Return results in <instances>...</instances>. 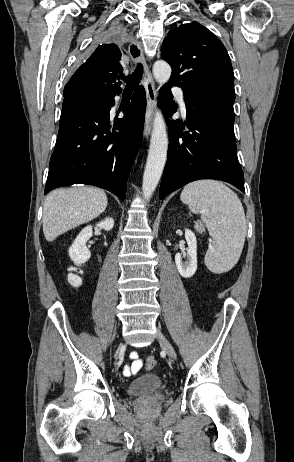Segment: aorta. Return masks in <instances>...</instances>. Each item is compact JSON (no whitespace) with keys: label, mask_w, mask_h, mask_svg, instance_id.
Instances as JSON below:
<instances>
[{"label":"aorta","mask_w":294,"mask_h":462,"mask_svg":"<svg viewBox=\"0 0 294 462\" xmlns=\"http://www.w3.org/2000/svg\"><path fill=\"white\" fill-rule=\"evenodd\" d=\"M153 75L160 85L165 84L171 76L170 65L165 61H156L153 65ZM167 150L166 124L161 111L158 110L153 121L150 147L143 175L142 191L146 201L150 200L160 181L167 159Z\"/></svg>","instance_id":"aorta-1"}]
</instances>
